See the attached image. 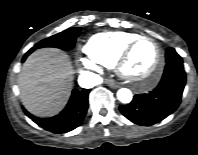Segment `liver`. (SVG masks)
<instances>
[{"mask_svg": "<svg viewBox=\"0 0 198 155\" xmlns=\"http://www.w3.org/2000/svg\"><path fill=\"white\" fill-rule=\"evenodd\" d=\"M73 73L71 61L63 51L52 48L36 50L19 73L22 104L36 116L57 114L70 96Z\"/></svg>", "mask_w": 198, "mask_h": 155, "instance_id": "1", "label": "liver"}]
</instances>
